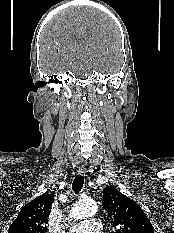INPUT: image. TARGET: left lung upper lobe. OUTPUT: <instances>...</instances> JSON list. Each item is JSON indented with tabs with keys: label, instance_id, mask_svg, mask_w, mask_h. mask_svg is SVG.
<instances>
[{
	"label": "left lung upper lobe",
	"instance_id": "1",
	"mask_svg": "<svg viewBox=\"0 0 174 233\" xmlns=\"http://www.w3.org/2000/svg\"><path fill=\"white\" fill-rule=\"evenodd\" d=\"M102 205L108 212L115 233H154L142 208L116 188H104Z\"/></svg>",
	"mask_w": 174,
	"mask_h": 233
}]
</instances>
